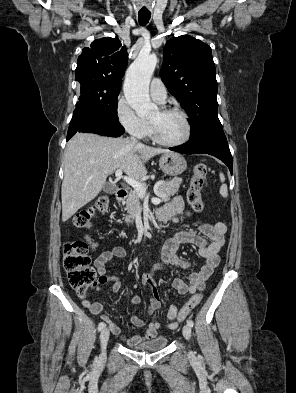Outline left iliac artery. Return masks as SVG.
<instances>
[{"label":"left iliac artery","mask_w":296,"mask_h":393,"mask_svg":"<svg viewBox=\"0 0 296 393\" xmlns=\"http://www.w3.org/2000/svg\"><path fill=\"white\" fill-rule=\"evenodd\" d=\"M187 323H188V325H189L190 327H193V325H194V322H193L191 319L188 320Z\"/></svg>","instance_id":"left-iliac-artery-1"}]
</instances>
